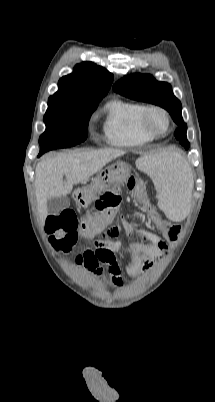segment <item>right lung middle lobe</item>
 I'll use <instances>...</instances> for the list:
<instances>
[{
	"mask_svg": "<svg viewBox=\"0 0 215 402\" xmlns=\"http://www.w3.org/2000/svg\"><path fill=\"white\" fill-rule=\"evenodd\" d=\"M102 98L49 99L44 115L46 131L40 136V152L67 148L87 138L88 121Z\"/></svg>",
	"mask_w": 215,
	"mask_h": 402,
	"instance_id": "dd1d6c3e",
	"label": "right lung middle lobe"
}]
</instances>
